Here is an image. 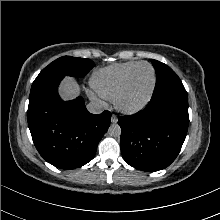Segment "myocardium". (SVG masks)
<instances>
[{
	"mask_svg": "<svg viewBox=\"0 0 220 220\" xmlns=\"http://www.w3.org/2000/svg\"><path fill=\"white\" fill-rule=\"evenodd\" d=\"M142 65L148 66L152 71V83H151L150 89H149L147 95L145 96V98L140 103H138L137 105H134V106H126L123 104V97L128 89L132 75L134 74L136 69ZM155 86H156V71H155L154 67L148 62H138L127 73L120 88L118 89V91L116 92V94L114 96L113 103H114L115 108L119 112L126 114V115H133V114H137V113L141 112L149 104V102L153 96Z\"/></svg>",
	"mask_w": 220,
	"mask_h": 220,
	"instance_id": "myocardium-1",
	"label": "myocardium"
}]
</instances>
